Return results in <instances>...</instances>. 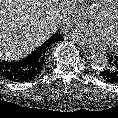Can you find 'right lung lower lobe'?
Here are the masks:
<instances>
[{
    "label": "right lung lower lobe",
    "instance_id": "1",
    "mask_svg": "<svg viewBox=\"0 0 118 118\" xmlns=\"http://www.w3.org/2000/svg\"><path fill=\"white\" fill-rule=\"evenodd\" d=\"M54 35H56L57 41L63 39L60 35ZM45 62L43 66H40V60L32 54L25 59L16 62L0 60V75L10 81L26 82L40 73L45 65Z\"/></svg>",
    "mask_w": 118,
    "mask_h": 118
}]
</instances>
